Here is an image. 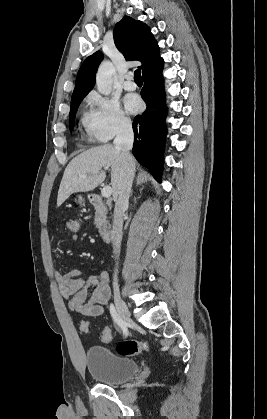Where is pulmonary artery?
<instances>
[{
	"instance_id": "e3ab8cb5",
	"label": "pulmonary artery",
	"mask_w": 267,
	"mask_h": 419,
	"mask_svg": "<svg viewBox=\"0 0 267 419\" xmlns=\"http://www.w3.org/2000/svg\"><path fill=\"white\" fill-rule=\"evenodd\" d=\"M123 86H124V89H126V90H128V91H133V90H135V89H136L137 85H136V83L134 82V79H133V74H132V73H128V74L126 75V79H125V81H124Z\"/></svg>"
}]
</instances>
